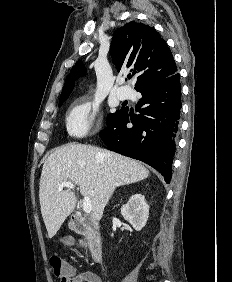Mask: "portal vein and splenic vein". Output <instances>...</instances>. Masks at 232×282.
I'll list each match as a JSON object with an SVG mask.
<instances>
[{"mask_svg":"<svg viewBox=\"0 0 232 282\" xmlns=\"http://www.w3.org/2000/svg\"><path fill=\"white\" fill-rule=\"evenodd\" d=\"M65 187L68 189H74L75 185L72 182L66 181L59 184L58 189L59 191H62ZM83 210L85 213H91L92 211V203L89 197H84L83 199Z\"/></svg>","mask_w":232,"mask_h":282,"instance_id":"obj_1","label":"portal vein and splenic vein"}]
</instances>
